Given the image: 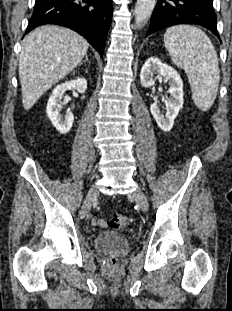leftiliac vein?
I'll use <instances>...</instances> for the list:
<instances>
[{
    "label": "left iliac vein",
    "mask_w": 232,
    "mask_h": 311,
    "mask_svg": "<svg viewBox=\"0 0 232 311\" xmlns=\"http://www.w3.org/2000/svg\"><path fill=\"white\" fill-rule=\"evenodd\" d=\"M130 197H132L136 200V202L139 204V206L141 207V209L144 212L148 211V209H149L148 199H147L145 193L141 189L137 188L135 191H133L130 194Z\"/></svg>",
    "instance_id": "1"
}]
</instances>
